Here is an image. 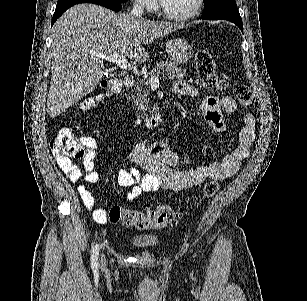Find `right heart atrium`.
<instances>
[{
  "label": "right heart atrium",
  "instance_id": "obj_1",
  "mask_svg": "<svg viewBox=\"0 0 307 301\" xmlns=\"http://www.w3.org/2000/svg\"><path fill=\"white\" fill-rule=\"evenodd\" d=\"M153 5V0H136V7H140L141 11H151Z\"/></svg>",
  "mask_w": 307,
  "mask_h": 301
}]
</instances>
